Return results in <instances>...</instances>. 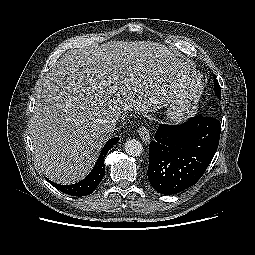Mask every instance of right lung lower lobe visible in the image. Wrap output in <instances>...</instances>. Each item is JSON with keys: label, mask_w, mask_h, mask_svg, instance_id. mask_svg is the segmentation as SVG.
Returning a JSON list of instances; mask_svg holds the SVG:
<instances>
[{"label": "right lung lower lobe", "mask_w": 255, "mask_h": 255, "mask_svg": "<svg viewBox=\"0 0 255 255\" xmlns=\"http://www.w3.org/2000/svg\"><path fill=\"white\" fill-rule=\"evenodd\" d=\"M119 139V137H115L111 138L106 142L95 166L93 167L89 175L80 182L73 185H59L46 178L47 181L51 183L55 188L68 195L81 197L91 194L102 181L105 175L104 158L106 154L119 141Z\"/></svg>", "instance_id": "98d812e1"}]
</instances>
